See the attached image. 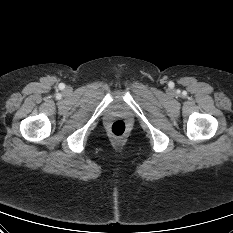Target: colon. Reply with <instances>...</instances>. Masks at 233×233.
Segmentation results:
<instances>
[{"mask_svg":"<svg viewBox=\"0 0 233 233\" xmlns=\"http://www.w3.org/2000/svg\"><path fill=\"white\" fill-rule=\"evenodd\" d=\"M110 132L115 137H122L127 132V124L123 120H116L110 125Z\"/></svg>","mask_w":233,"mask_h":233,"instance_id":"obj_1","label":"colon"}]
</instances>
